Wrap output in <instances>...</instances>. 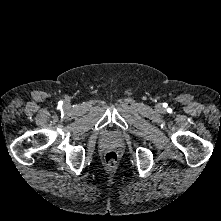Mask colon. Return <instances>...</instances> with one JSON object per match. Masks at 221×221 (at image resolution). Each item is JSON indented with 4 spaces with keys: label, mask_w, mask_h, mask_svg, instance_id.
Returning a JSON list of instances; mask_svg holds the SVG:
<instances>
[{
    "label": "colon",
    "mask_w": 221,
    "mask_h": 221,
    "mask_svg": "<svg viewBox=\"0 0 221 221\" xmlns=\"http://www.w3.org/2000/svg\"><path fill=\"white\" fill-rule=\"evenodd\" d=\"M117 162H118V157L116 153L109 151L105 154L104 164L107 169L109 170L114 169L117 165Z\"/></svg>",
    "instance_id": "colon-1"
}]
</instances>
